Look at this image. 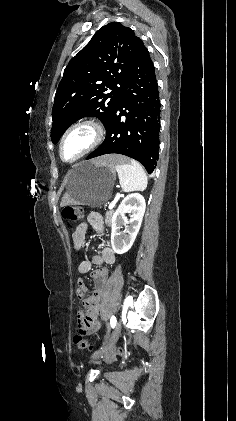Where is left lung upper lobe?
Masks as SVG:
<instances>
[{"label":"left lung upper lobe","mask_w":236,"mask_h":421,"mask_svg":"<svg viewBox=\"0 0 236 421\" xmlns=\"http://www.w3.org/2000/svg\"><path fill=\"white\" fill-rule=\"evenodd\" d=\"M142 45L131 28L111 22L101 27L71 59L55 94L53 143L73 122L85 116L97 117L104 126L107 124Z\"/></svg>","instance_id":"left-lung-upper-lobe-1"}]
</instances>
